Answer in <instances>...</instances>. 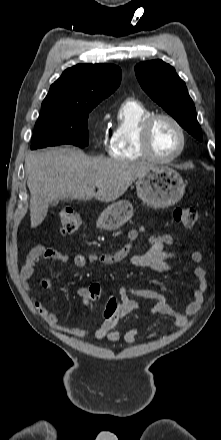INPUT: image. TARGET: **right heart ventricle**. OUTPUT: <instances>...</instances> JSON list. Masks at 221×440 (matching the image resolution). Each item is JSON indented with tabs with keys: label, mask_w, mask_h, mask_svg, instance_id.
<instances>
[{
	"label": "right heart ventricle",
	"mask_w": 221,
	"mask_h": 440,
	"mask_svg": "<svg viewBox=\"0 0 221 440\" xmlns=\"http://www.w3.org/2000/svg\"><path fill=\"white\" fill-rule=\"evenodd\" d=\"M151 111L136 99L124 100L118 110L117 122L109 140L112 158L138 160L147 158L140 144V125Z\"/></svg>",
	"instance_id": "obj_1"
}]
</instances>
